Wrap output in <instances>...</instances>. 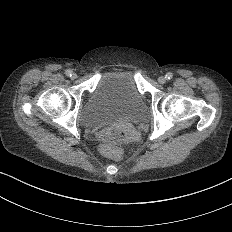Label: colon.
<instances>
[{"instance_id": "5ec220e1", "label": "colon", "mask_w": 232, "mask_h": 232, "mask_svg": "<svg viewBox=\"0 0 232 232\" xmlns=\"http://www.w3.org/2000/svg\"><path fill=\"white\" fill-rule=\"evenodd\" d=\"M139 136V128L132 121L113 122L109 129H102L96 134V141L105 153H110L115 147L130 144Z\"/></svg>"}]
</instances>
